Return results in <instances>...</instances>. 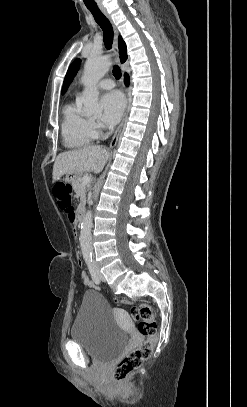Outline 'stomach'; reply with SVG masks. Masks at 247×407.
I'll return each mask as SVG.
<instances>
[{
    "label": "stomach",
    "mask_w": 247,
    "mask_h": 407,
    "mask_svg": "<svg viewBox=\"0 0 247 407\" xmlns=\"http://www.w3.org/2000/svg\"><path fill=\"white\" fill-rule=\"evenodd\" d=\"M79 175L76 174H67L65 177V181L68 183H73V181L75 180L76 177H78Z\"/></svg>",
    "instance_id": "0dacf381"
}]
</instances>
